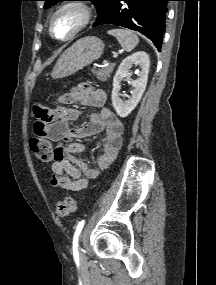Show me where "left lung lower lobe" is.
Returning <instances> with one entry per match:
<instances>
[{"label": "left lung lower lobe", "mask_w": 216, "mask_h": 285, "mask_svg": "<svg viewBox=\"0 0 216 285\" xmlns=\"http://www.w3.org/2000/svg\"><path fill=\"white\" fill-rule=\"evenodd\" d=\"M170 0H114L95 26L113 24L138 31L153 41L160 51Z\"/></svg>", "instance_id": "obj_1"}]
</instances>
